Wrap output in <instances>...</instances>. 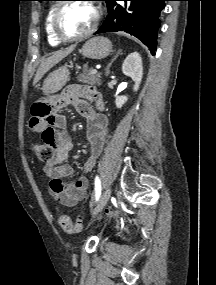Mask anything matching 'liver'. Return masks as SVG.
I'll use <instances>...</instances> for the list:
<instances>
[{
	"instance_id": "6515ba94",
	"label": "liver",
	"mask_w": 216,
	"mask_h": 285,
	"mask_svg": "<svg viewBox=\"0 0 216 285\" xmlns=\"http://www.w3.org/2000/svg\"><path fill=\"white\" fill-rule=\"evenodd\" d=\"M75 47V45H72L65 50L56 51L50 57L43 59L34 77L33 85H36L49 69L68 56L75 49Z\"/></svg>"
}]
</instances>
